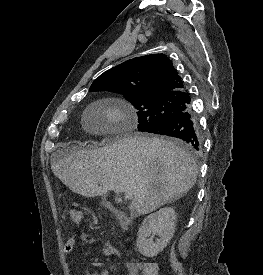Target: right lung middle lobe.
<instances>
[{"label": "right lung middle lobe", "mask_w": 263, "mask_h": 275, "mask_svg": "<svg viewBox=\"0 0 263 275\" xmlns=\"http://www.w3.org/2000/svg\"><path fill=\"white\" fill-rule=\"evenodd\" d=\"M106 90L121 93L127 98V100L138 110V130L145 132H148L174 116L188 110L191 103L189 95H134L121 89H90V91Z\"/></svg>", "instance_id": "right-lung-middle-lobe-1"}]
</instances>
